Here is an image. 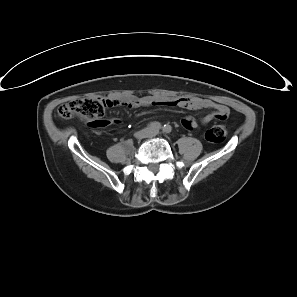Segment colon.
I'll list each match as a JSON object with an SVG mask.
<instances>
[{
  "mask_svg": "<svg viewBox=\"0 0 297 297\" xmlns=\"http://www.w3.org/2000/svg\"><path fill=\"white\" fill-rule=\"evenodd\" d=\"M109 102L102 98L75 99L58 108V116L67 120L73 116H80L87 119H103L106 106ZM227 131L224 125L217 124L208 129L205 138L211 143H220L226 137Z\"/></svg>",
  "mask_w": 297,
  "mask_h": 297,
  "instance_id": "obj_1",
  "label": "colon"
}]
</instances>
